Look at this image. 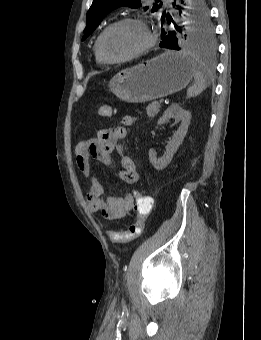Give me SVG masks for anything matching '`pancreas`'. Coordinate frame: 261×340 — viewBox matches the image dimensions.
Here are the masks:
<instances>
[{"mask_svg": "<svg viewBox=\"0 0 261 340\" xmlns=\"http://www.w3.org/2000/svg\"><path fill=\"white\" fill-rule=\"evenodd\" d=\"M146 111L149 118H154L160 111V103L156 101L152 102L146 107Z\"/></svg>", "mask_w": 261, "mask_h": 340, "instance_id": "cf45deb5", "label": "pancreas"}]
</instances>
